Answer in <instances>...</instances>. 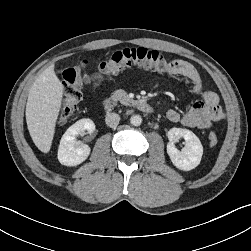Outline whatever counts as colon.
Here are the masks:
<instances>
[{"label": "colon", "instance_id": "1", "mask_svg": "<svg viewBox=\"0 0 251 251\" xmlns=\"http://www.w3.org/2000/svg\"><path fill=\"white\" fill-rule=\"evenodd\" d=\"M88 61L83 60L79 65L68 67L63 71L62 103L58 121L64 123L75 111L82 98V88L91 82L87 73ZM130 66L165 72L171 67V62L160 52L143 47L125 48L113 52L101 62L96 71L101 77H111ZM209 144L215 146L218 136L215 132L209 135Z\"/></svg>", "mask_w": 251, "mask_h": 251}]
</instances>
